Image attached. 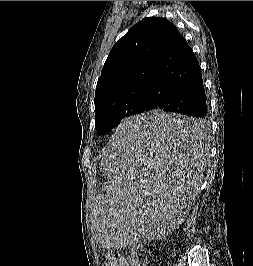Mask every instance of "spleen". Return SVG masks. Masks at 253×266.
Here are the masks:
<instances>
[{
  "label": "spleen",
  "mask_w": 253,
  "mask_h": 266,
  "mask_svg": "<svg viewBox=\"0 0 253 266\" xmlns=\"http://www.w3.org/2000/svg\"><path fill=\"white\" fill-rule=\"evenodd\" d=\"M103 169L108 207H93L92 233L101 248H144L180 229L202 174L204 124L180 111H145L120 124ZM186 210V211H184Z\"/></svg>",
  "instance_id": "3e777b00"
}]
</instances>
